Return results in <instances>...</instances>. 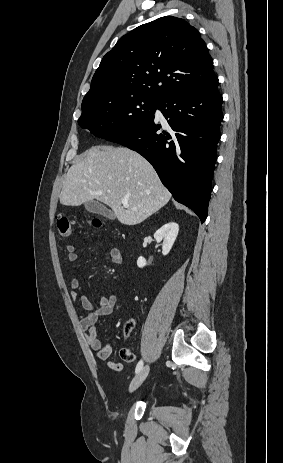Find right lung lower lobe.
<instances>
[{
	"mask_svg": "<svg viewBox=\"0 0 283 463\" xmlns=\"http://www.w3.org/2000/svg\"><path fill=\"white\" fill-rule=\"evenodd\" d=\"M217 86L218 78L171 93L156 106L166 123L158 122L153 114L146 122L108 139L147 159L174 199L191 208L201 223L207 217L223 120Z\"/></svg>",
	"mask_w": 283,
	"mask_h": 463,
	"instance_id": "right-lung-lower-lobe-1",
	"label": "right lung lower lobe"
}]
</instances>
